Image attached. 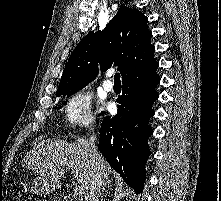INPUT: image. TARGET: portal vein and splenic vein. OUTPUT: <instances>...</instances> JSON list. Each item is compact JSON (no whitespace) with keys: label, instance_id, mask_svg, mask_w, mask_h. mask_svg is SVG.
<instances>
[{"label":"portal vein and splenic vein","instance_id":"1","mask_svg":"<svg viewBox=\"0 0 221 201\" xmlns=\"http://www.w3.org/2000/svg\"><path fill=\"white\" fill-rule=\"evenodd\" d=\"M74 192H75V195L78 196L79 198L83 197L85 193L84 188L81 185L75 186Z\"/></svg>","mask_w":221,"mask_h":201}]
</instances>
